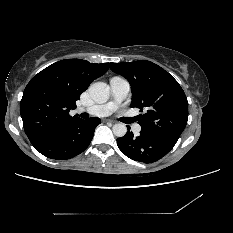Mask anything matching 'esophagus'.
Instances as JSON below:
<instances>
[{"mask_svg":"<svg viewBox=\"0 0 233 233\" xmlns=\"http://www.w3.org/2000/svg\"><path fill=\"white\" fill-rule=\"evenodd\" d=\"M105 121H106V122H110V123H112V124L115 123V121H113V120H111V119H106Z\"/></svg>","mask_w":233,"mask_h":233,"instance_id":"34e87169","label":"esophagus"}]
</instances>
